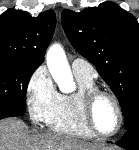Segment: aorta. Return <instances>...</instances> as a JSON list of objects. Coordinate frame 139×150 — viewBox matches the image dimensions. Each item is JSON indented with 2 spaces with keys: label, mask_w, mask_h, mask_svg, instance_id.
<instances>
[{
  "label": "aorta",
  "mask_w": 139,
  "mask_h": 150,
  "mask_svg": "<svg viewBox=\"0 0 139 150\" xmlns=\"http://www.w3.org/2000/svg\"><path fill=\"white\" fill-rule=\"evenodd\" d=\"M48 70L62 92H72L75 88L72 72L61 45L53 44L47 51Z\"/></svg>",
  "instance_id": "762f6f07"
}]
</instances>
